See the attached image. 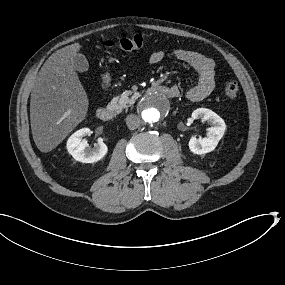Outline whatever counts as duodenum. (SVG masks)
Returning a JSON list of instances; mask_svg holds the SVG:
<instances>
[{
    "mask_svg": "<svg viewBox=\"0 0 285 285\" xmlns=\"http://www.w3.org/2000/svg\"><path fill=\"white\" fill-rule=\"evenodd\" d=\"M148 91L155 92L166 97L176 96V92L174 89L161 84H153L149 86ZM96 115L101 121L107 122L113 119L114 110L110 106H102L97 109Z\"/></svg>",
    "mask_w": 285,
    "mask_h": 285,
    "instance_id": "1",
    "label": "duodenum"
}]
</instances>
